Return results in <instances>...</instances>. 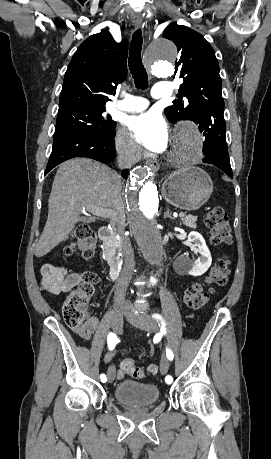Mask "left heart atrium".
<instances>
[{"instance_id":"left-heart-atrium-1","label":"left heart atrium","mask_w":271,"mask_h":459,"mask_svg":"<svg viewBox=\"0 0 271 459\" xmlns=\"http://www.w3.org/2000/svg\"><path fill=\"white\" fill-rule=\"evenodd\" d=\"M128 128L137 144L152 151H163L169 143V126L164 118L157 113L147 112L132 117Z\"/></svg>"}]
</instances>
